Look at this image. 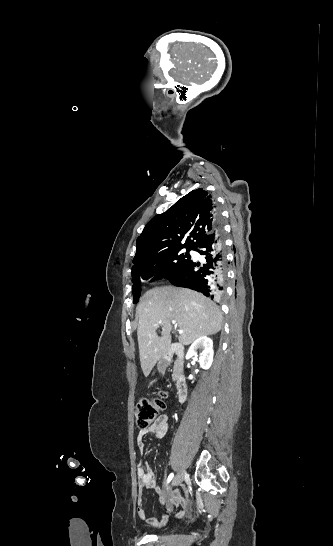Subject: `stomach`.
<instances>
[{"instance_id": "0dacf381", "label": "stomach", "mask_w": 333, "mask_h": 546, "mask_svg": "<svg viewBox=\"0 0 333 546\" xmlns=\"http://www.w3.org/2000/svg\"><path fill=\"white\" fill-rule=\"evenodd\" d=\"M167 365H168L167 360H165L164 358H162V359L159 361L158 365H157L158 371H159L160 373H164L165 370H166Z\"/></svg>"}]
</instances>
